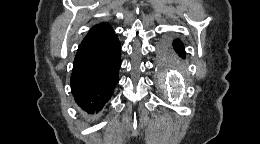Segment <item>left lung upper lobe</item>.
I'll return each instance as SVG.
<instances>
[{
  "label": "left lung upper lobe",
  "instance_id": "1",
  "mask_svg": "<svg viewBox=\"0 0 260 144\" xmlns=\"http://www.w3.org/2000/svg\"><path fill=\"white\" fill-rule=\"evenodd\" d=\"M162 51H164V52H172L173 51V46L169 42H165L162 45Z\"/></svg>",
  "mask_w": 260,
  "mask_h": 144
}]
</instances>
